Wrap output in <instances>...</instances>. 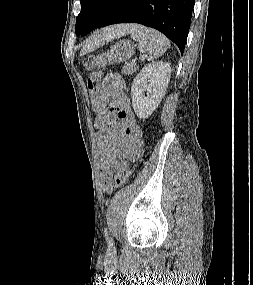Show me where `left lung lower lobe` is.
I'll list each match as a JSON object with an SVG mask.
<instances>
[{
	"instance_id": "obj_1",
	"label": "left lung lower lobe",
	"mask_w": 253,
	"mask_h": 285,
	"mask_svg": "<svg viewBox=\"0 0 253 285\" xmlns=\"http://www.w3.org/2000/svg\"><path fill=\"white\" fill-rule=\"evenodd\" d=\"M195 0H115L98 28L116 23H140L155 28L183 54Z\"/></svg>"
}]
</instances>
